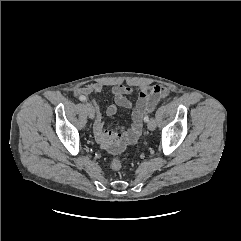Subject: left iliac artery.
Instances as JSON below:
<instances>
[{
  "label": "left iliac artery",
  "mask_w": 241,
  "mask_h": 241,
  "mask_svg": "<svg viewBox=\"0 0 241 241\" xmlns=\"http://www.w3.org/2000/svg\"><path fill=\"white\" fill-rule=\"evenodd\" d=\"M144 121H145V122H148V121H149V117H148V116H145V117H144Z\"/></svg>",
  "instance_id": "left-iliac-artery-1"
}]
</instances>
